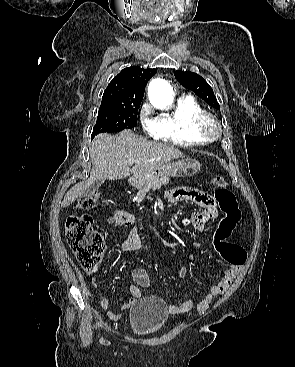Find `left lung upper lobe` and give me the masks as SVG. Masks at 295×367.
Returning <instances> with one entry per match:
<instances>
[{
    "mask_svg": "<svg viewBox=\"0 0 295 367\" xmlns=\"http://www.w3.org/2000/svg\"><path fill=\"white\" fill-rule=\"evenodd\" d=\"M175 78L186 89L193 91L197 96L202 98L210 106L219 109L220 106L214 95L211 86L198 74L190 71L175 72Z\"/></svg>",
    "mask_w": 295,
    "mask_h": 367,
    "instance_id": "5c2ea615",
    "label": "left lung upper lobe"
}]
</instances>
